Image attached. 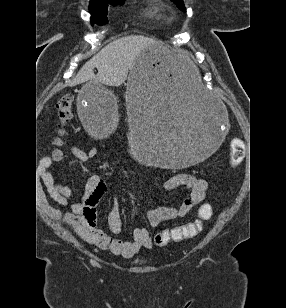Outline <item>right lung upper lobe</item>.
I'll use <instances>...</instances> for the list:
<instances>
[{
    "instance_id": "obj_1",
    "label": "right lung upper lobe",
    "mask_w": 286,
    "mask_h": 308,
    "mask_svg": "<svg viewBox=\"0 0 286 308\" xmlns=\"http://www.w3.org/2000/svg\"><path fill=\"white\" fill-rule=\"evenodd\" d=\"M109 1H112V0H90V3H105Z\"/></svg>"
}]
</instances>
